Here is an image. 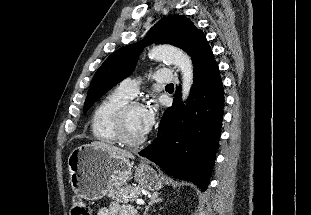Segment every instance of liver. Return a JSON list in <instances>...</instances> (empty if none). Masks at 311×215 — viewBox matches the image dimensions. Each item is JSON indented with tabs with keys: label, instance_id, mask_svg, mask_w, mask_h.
I'll use <instances>...</instances> for the list:
<instances>
[{
	"label": "liver",
	"instance_id": "1",
	"mask_svg": "<svg viewBox=\"0 0 311 215\" xmlns=\"http://www.w3.org/2000/svg\"><path fill=\"white\" fill-rule=\"evenodd\" d=\"M90 145L101 148L105 150L106 152H108L109 154L114 155V156L117 155V156H121V157L128 158V159L134 158V156L130 152L123 150L121 148H118L116 146H113L111 144H108L106 142L94 141V142H91Z\"/></svg>",
	"mask_w": 311,
	"mask_h": 215
}]
</instances>
